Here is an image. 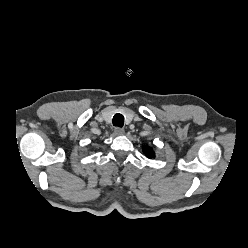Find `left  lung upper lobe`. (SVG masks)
Listing matches in <instances>:
<instances>
[{
  "mask_svg": "<svg viewBox=\"0 0 248 248\" xmlns=\"http://www.w3.org/2000/svg\"><path fill=\"white\" fill-rule=\"evenodd\" d=\"M143 152L146 154V156H147L148 158H151V157H154V156H155L154 151H153L152 149H150L148 146H145V147L143 148Z\"/></svg>",
  "mask_w": 248,
  "mask_h": 248,
  "instance_id": "left-lung-upper-lobe-1",
  "label": "left lung upper lobe"
}]
</instances>
